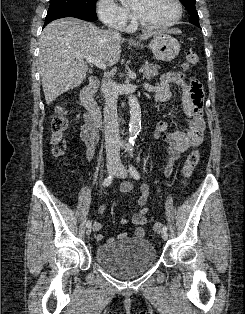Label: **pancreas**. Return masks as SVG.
Returning a JSON list of instances; mask_svg holds the SVG:
<instances>
[{"mask_svg": "<svg viewBox=\"0 0 245 314\" xmlns=\"http://www.w3.org/2000/svg\"><path fill=\"white\" fill-rule=\"evenodd\" d=\"M142 68L144 69L143 78L150 80L151 78L158 75V70L160 67L158 65L145 63L142 65Z\"/></svg>", "mask_w": 245, "mask_h": 314, "instance_id": "pancreas-1", "label": "pancreas"}]
</instances>
